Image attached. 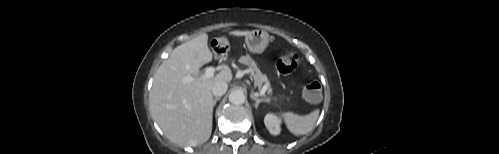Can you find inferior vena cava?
<instances>
[{
    "label": "inferior vena cava",
    "instance_id": "602c4592",
    "mask_svg": "<svg viewBox=\"0 0 499 154\" xmlns=\"http://www.w3.org/2000/svg\"><path fill=\"white\" fill-rule=\"evenodd\" d=\"M228 85L225 81H218L212 87V94L216 97H220L226 93Z\"/></svg>",
    "mask_w": 499,
    "mask_h": 154
}]
</instances>
